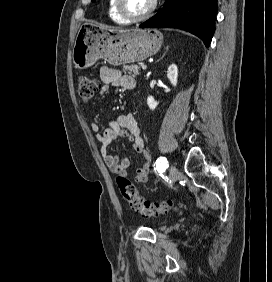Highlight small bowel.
Listing matches in <instances>:
<instances>
[{"mask_svg":"<svg viewBox=\"0 0 272 282\" xmlns=\"http://www.w3.org/2000/svg\"><path fill=\"white\" fill-rule=\"evenodd\" d=\"M100 77L104 84L99 93L104 95L109 90V85L121 87L124 90H133L136 87V81L130 76L123 75L121 71L108 67L100 70ZM92 131L97 141L101 143V155L106 166L117 175H127V168L130 165L128 158H120L118 155L109 152V145L120 137L126 138L134 150L140 154L144 162L136 171L134 181L136 183H145L148 180L150 165L148 163L149 154L145 149L144 139L142 137L137 121L131 114L120 115L109 122V127L100 132L97 123L92 124Z\"/></svg>","mask_w":272,"mask_h":282,"instance_id":"1","label":"small bowel"}]
</instances>
